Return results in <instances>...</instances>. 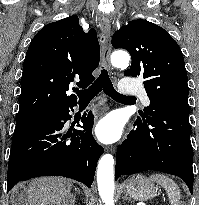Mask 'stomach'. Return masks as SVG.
Masks as SVG:
<instances>
[{
	"label": "stomach",
	"instance_id": "obj_1",
	"mask_svg": "<svg viewBox=\"0 0 199 205\" xmlns=\"http://www.w3.org/2000/svg\"><path fill=\"white\" fill-rule=\"evenodd\" d=\"M125 190L131 198L139 201H147L157 195V186L141 174L128 179L125 183Z\"/></svg>",
	"mask_w": 199,
	"mask_h": 205
}]
</instances>
